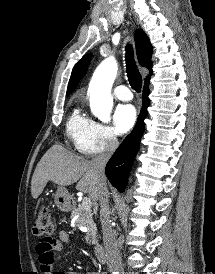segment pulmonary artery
I'll return each mask as SVG.
<instances>
[{
  "label": "pulmonary artery",
  "instance_id": "pulmonary-artery-1",
  "mask_svg": "<svg viewBox=\"0 0 215 274\" xmlns=\"http://www.w3.org/2000/svg\"><path fill=\"white\" fill-rule=\"evenodd\" d=\"M114 95L116 98L122 101H130L132 99V93L125 85H119L114 89Z\"/></svg>",
  "mask_w": 215,
  "mask_h": 274
}]
</instances>
